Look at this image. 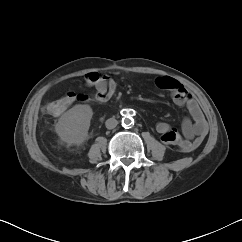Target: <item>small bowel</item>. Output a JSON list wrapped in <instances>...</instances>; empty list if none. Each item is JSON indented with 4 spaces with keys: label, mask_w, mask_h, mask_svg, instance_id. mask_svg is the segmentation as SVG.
I'll list each match as a JSON object with an SVG mask.
<instances>
[{
    "label": "small bowel",
    "mask_w": 242,
    "mask_h": 242,
    "mask_svg": "<svg viewBox=\"0 0 242 242\" xmlns=\"http://www.w3.org/2000/svg\"><path fill=\"white\" fill-rule=\"evenodd\" d=\"M95 78V81H92ZM88 84H94L96 90L107 89L110 94L115 90V82L109 77H100L97 73H90L86 77ZM159 89L167 90L171 94L173 102L185 107L189 111L193 122L185 118L182 122L180 135L169 123L161 121L156 125L157 132L161 135L163 143L173 145L182 152H190L195 150L203 142L208 126L205 117L192 94L176 79L168 76L160 77L155 81ZM69 105L75 101L74 94L65 97Z\"/></svg>",
    "instance_id": "1"
}]
</instances>
